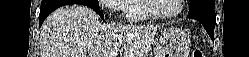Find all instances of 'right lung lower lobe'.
Segmentation results:
<instances>
[{
    "label": "right lung lower lobe",
    "mask_w": 249,
    "mask_h": 57,
    "mask_svg": "<svg viewBox=\"0 0 249 57\" xmlns=\"http://www.w3.org/2000/svg\"><path fill=\"white\" fill-rule=\"evenodd\" d=\"M68 4H82L86 5L83 0H42L41 3V8H40V14H39V23L40 26L42 25L43 21L45 18L56 8L61 7L63 5H68ZM88 6V5H86ZM90 7V6H88ZM93 10H95L102 19H104L103 12L99 10V8H93L90 7Z\"/></svg>",
    "instance_id": "obj_1"
}]
</instances>
